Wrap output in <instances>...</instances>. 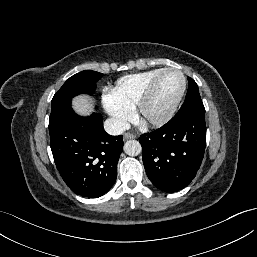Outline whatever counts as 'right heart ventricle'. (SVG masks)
Segmentation results:
<instances>
[{
	"label": "right heart ventricle",
	"instance_id": "1",
	"mask_svg": "<svg viewBox=\"0 0 257 257\" xmlns=\"http://www.w3.org/2000/svg\"><path fill=\"white\" fill-rule=\"evenodd\" d=\"M165 68H156L120 78L109 95L121 106L133 109L153 79Z\"/></svg>",
	"mask_w": 257,
	"mask_h": 257
}]
</instances>
